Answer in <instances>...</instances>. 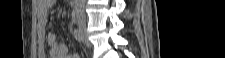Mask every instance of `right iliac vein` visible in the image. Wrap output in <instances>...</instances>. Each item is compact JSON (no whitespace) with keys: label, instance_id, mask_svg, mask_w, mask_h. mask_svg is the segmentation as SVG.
Returning <instances> with one entry per match:
<instances>
[{"label":"right iliac vein","instance_id":"right-iliac-vein-1","mask_svg":"<svg viewBox=\"0 0 225 58\" xmlns=\"http://www.w3.org/2000/svg\"><path fill=\"white\" fill-rule=\"evenodd\" d=\"M77 24H78V28H79L80 34H81V36L83 38V41H85V43L89 46L87 33H86L85 22L82 21V20H78Z\"/></svg>","mask_w":225,"mask_h":58}]
</instances>
